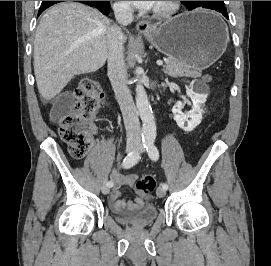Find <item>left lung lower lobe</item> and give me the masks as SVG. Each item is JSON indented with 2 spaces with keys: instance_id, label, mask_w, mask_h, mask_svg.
Wrapping results in <instances>:
<instances>
[{
  "instance_id": "0a47b994",
  "label": "left lung lower lobe",
  "mask_w": 271,
  "mask_h": 266,
  "mask_svg": "<svg viewBox=\"0 0 271 266\" xmlns=\"http://www.w3.org/2000/svg\"><path fill=\"white\" fill-rule=\"evenodd\" d=\"M189 10V9H188ZM223 16H225L226 18H228V13H227V11H222V12H220Z\"/></svg>"
}]
</instances>
